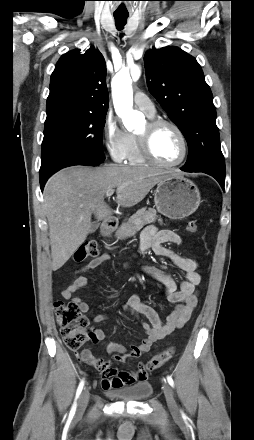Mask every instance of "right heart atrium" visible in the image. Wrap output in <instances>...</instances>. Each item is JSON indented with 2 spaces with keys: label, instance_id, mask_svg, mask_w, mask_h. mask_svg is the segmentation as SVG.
Wrapping results in <instances>:
<instances>
[{
  "label": "right heart atrium",
  "instance_id": "1",
  "mask_svg": "<svg viewBox=\"0 0 254 440\" xmlns=\"http://www.w3.org/2000/svg\"><path fill=\"white\" fill-rule=\"evenodd\" d=\"M103 135L105 146L111 157L117 162L127 160L133 145V135L121 128L111 116L105 119Z\"/></svg>",
  "mask_w": 254,
  "mask_h": 440
}]
</instances>
